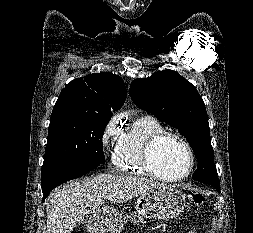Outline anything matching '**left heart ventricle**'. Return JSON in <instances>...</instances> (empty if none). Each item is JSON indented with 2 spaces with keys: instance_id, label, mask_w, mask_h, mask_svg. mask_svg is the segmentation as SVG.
<instances>
[{
  "instance_id": "1",
  "label": "left heart ventricle",
  "mask_w": 253,
  "mask_h": 233,
  "mask_svg": "<svg viewBox=\"0 0 253 233\" xmlns=\"http://www.w3.org/2000/svg\"><path fill=\"white\" fill-rule=\"evenodd\" d=\"M190 159L187 150L177 142L161 143L153 155V165L163 176L177 177L186 173Z\"/></svg>"
}]
</instances>
